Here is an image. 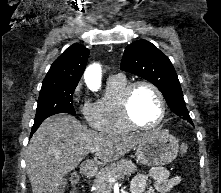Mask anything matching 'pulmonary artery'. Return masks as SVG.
<instances>
[{
  "mask_svg": "<svg viewBox=\"0 0 221 193\" xmlns=\"http://www.w3.org/2000/svg\"><path fill=\"white\" fill-rule=\"evenodd\" d=\"M116 76H118V77H122L123 75H122L121 73H119V74H117Z\"/></svg>",
  "mask_w": 221,
  "mask_h": 193,
  "instance_id": "e3ab8cb5",
  "label": "pulmonary artery"
}]
</instances>
